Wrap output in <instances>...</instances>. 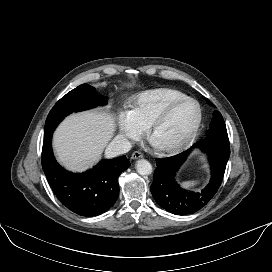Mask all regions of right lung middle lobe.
Here are the masks:
<instances>
[{
	"label": "right lung middle lobe",
	"instance_id": "dd1d6c3e",
	"mask_svg": "<svg viewBox=\"0 0 272 272\" xmlns=\"http://www.w3.org/2000/svg\"><path fill=\"white\" fill-rule=\"evenodd\" d=\"M108 98L96 93L94 87L82 84L63 96L50 111L44 129V137L51 134L64 117L72 112L87 110L106 104Z\"/></svg>",
	"mask_w": 272,
	"mask_h": 272
}]
</instances>
